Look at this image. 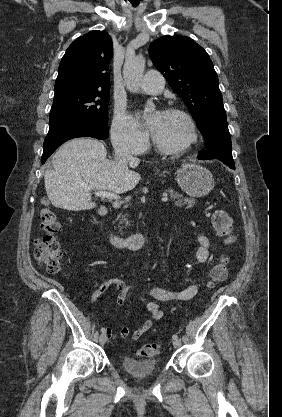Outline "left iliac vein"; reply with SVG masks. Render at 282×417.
<instances>
[{"label": "left iliac vein", "instance_id": "obj_1", "mask_svg": "<svg viewBox=\"0 0 282 417\" xmlns=\"http://www.w3.org/2000/svg\"><path fill=\"white\" fill-rule=\"evenodd\" d=\"M174 348H179L181 346V341L179 339L173 341Z\"/></svg>", "mask_w": 282, "mask_h": 417}]
</instances>
